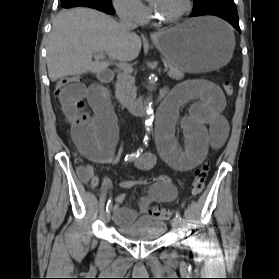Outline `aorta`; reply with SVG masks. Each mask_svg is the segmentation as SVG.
<instances>
[{"mask_svg":"<svg viewBox=\"0 0 279 279\" xmlns=\"http://www.w3.org/2000/svg\"><path fill=\"white\" fill-rule=\"evenodd\" d=\"M145 106H146V110H147V114H148L145 124H146L147 130H149V127L151 126L152 120H153V116H151V114L153 113L152 95L151 94L147 97Z\"/></svg>","mask_w":279,"mask_h":279,"instance_id":"762f6f07","label":"aorta"}]
</instances>
